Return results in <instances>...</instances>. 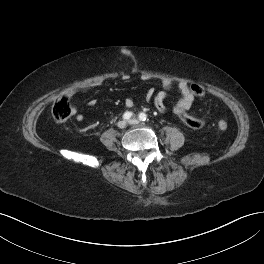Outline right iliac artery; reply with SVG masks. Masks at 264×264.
Returning <instances> with one entry per match:
<instances>
[{
  "instance_id": "right-iliac-artery-1",
  "label": "right iliac artery",
  "mask_w": 264,
  "mask_h": 264,
  "mask_svg": "<svg viewBox=\"0 0 264 264\" xmlns=\"http://www.w3.org/2000/svg\"><path fill=\"white\" fill-rule=\"evenodd\" d=\"M133 117V113L132 112H125L123 115V118L126 120H129Z\"/></svg>"
}]
</instances>
